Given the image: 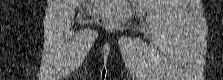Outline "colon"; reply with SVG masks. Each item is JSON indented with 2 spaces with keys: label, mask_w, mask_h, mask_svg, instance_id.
Here are the masks:
<instances>
[{
  "label": "colon",
  "mask_w": 223,
  "mask_h": 80,
  "mask_svg": "<svg viewBox=\"0 0 223 80\" xmlns=\"http://www.w3.org/2000/svg\"><path fill=\"white\" fill-rule=\"evenodd\" d=\"M100 23H101L102 25H104V26H107V27L113 25V22H112V21H109V20H107V19H103V18L100 19Z\"/></svg>",
  "instance_id": "5ec220e1"
}]
</instances>
